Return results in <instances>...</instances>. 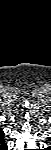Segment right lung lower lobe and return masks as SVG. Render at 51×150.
I'll list each match as a JSON object with an SVG mask.
<instances>
[{"instance_id": "obj_1", "label": "right lung lower lobe", "mask_w": 51, "mask_h": 150, "mask_svg": "<svg viewBox=\"0 0 51 150\" xmlns=\"http://www.w3.org/2000/svg\"><path fill=\"white\" fill-rule=\"evenodd\" d=\"M1 148H2V149H7V145H6L4 142H2V143H1Z\"/></svg>"}]
</instances>
